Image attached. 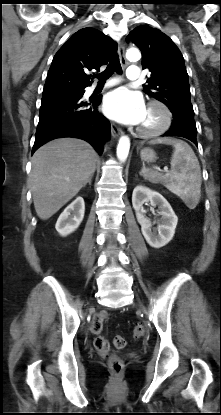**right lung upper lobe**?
<instances>
[{
  "label": "right lung upper lobe",
  "mask_w": 221,
  "mask_h": 415,
  "mask_svg": "<svg viewBox=\"0 0 221 415\" xmlns=\"http://www.w3.org/2000/svg\"><path fill=\"white\" fill-rule=\"evenodd\" d=\"M117 45L97 29L86 27L74 33L51 63L44 93L83 89L92 84L90 70H100L116 54Z\"/></svg>",
  "instance_id": "obj_1"
}]
</instances>
